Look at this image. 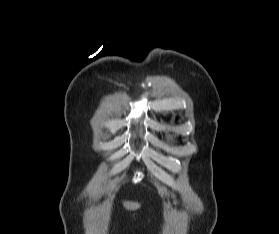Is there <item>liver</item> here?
Listing matches in <instances>:
<instances>
[{"instance_id":"6515ba94","label":"liver","mask_w":279,"mask_h":234,"mask_svg":"<svg viewBox=\"0 0 279 234\" xmlns=\"http://www.w3.org/2000/svg\"><path fill=\"white\" fill-rule=\"evenodd\" d=\"M124 207L127 209V210H137L141 207V205L137 202H124Z\"/></svg>"}]
</instances>
